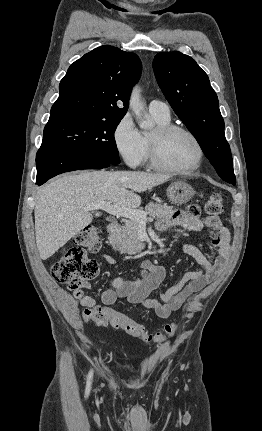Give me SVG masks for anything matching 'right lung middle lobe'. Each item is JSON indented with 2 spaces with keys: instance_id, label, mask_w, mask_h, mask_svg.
<instances>
[{
  "instance_id": "dd1d6c3e",
  "label": "right lung middle lobe",
  "mask_w": 262,
  "mask_h": 431,
  "mask_svg": "<svg viewBox=\"0 0 262 431\" xmlns=\"http://www.w3.org/2000/svg\"><path fill=\"white\" fill-rule=\"evenodd\" d=\"M121 119L88 118L46 125L41 147L78 151L118 164L114 132Z\"/></svg>"
}]
</instances>
